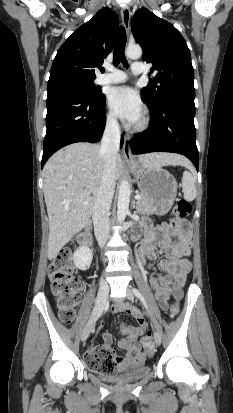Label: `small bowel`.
I'll list each match as a JSON object with an SVG mask.
<instances>
[{
  "label": "small bowel",
  "mask_w": 233,
  "mask_h": 413,
  "mask_svg": "<svg viewBox=\"0 0 233 413\" xmlns=\"http://www.w3.org/2000/svg\"><path fill=\"white\" fill-rule=\"evenodd\" d=\"M145 228L146 233L139 250L140 261L151 269L150 284L155 291V299L162 310H167L171 295L175 299L181 298V288L191 269L188 258L191 250L190 226L187 221L177 219L155 228H151L146 223ZM158 258H161L160 268L165 274L159 273L154 267V262ZM113 310L130 314L138 323L137 326H122V332L127 338L120 340L118 345L126 350V354L122 357L116 356L117 366L124 368L143 363L146 350L139 338L145 332L147 325L142 313L127 302L117 303ZM112 340L110 333H103V344L89 347L84 357L95 355L101 348L110 349Z\"/></svg>",
  "instance_id": "1"
}]
</instances>
